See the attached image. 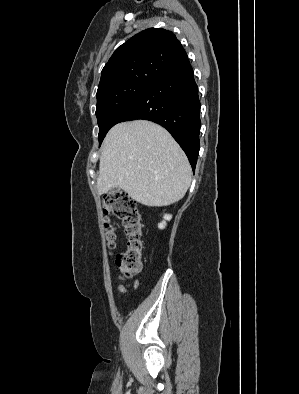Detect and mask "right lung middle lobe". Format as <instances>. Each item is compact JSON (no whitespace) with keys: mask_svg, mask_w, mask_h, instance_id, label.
I'll return each instance as SVG.
<instances>
[{"mask_svg":"<svg viewBox=\"0 0 299 394\" xmlns=\"http://www.w3.org/2000/svg\"><path fill=\"white\" fill-rule=\"evenodd\" d=\"M151 85V83H125L97 95L96 117L99 126V144L131 104Z\"/></svg>","mask_w":299,"mask_h":394,"instance_id":"dd1d6c3e","label":"right lung middle lobe"}]
</instances>
